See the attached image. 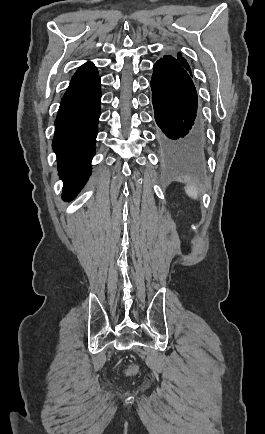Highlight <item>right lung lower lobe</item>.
Wrapping results in <instances>:
<instances>
[{"mask_svg":"<svg viewBox=\"0 0 265 434\" xmlns=\"http://www.w3.org/2000/svg\"><path fill=\"white\" fill-rule=\"evenodd\" d=\"M100 100V77L96 67L87 62L72 77L55 120L53 149L64 181V200L73 199L90 176Z\"/></svg>","mask_w":265,"mask_h":434,"instance_id":"1","label":"right lung lower lobe"}]
</instances>
